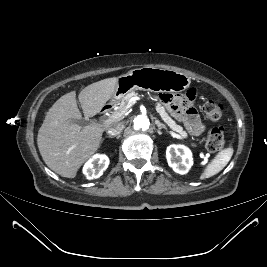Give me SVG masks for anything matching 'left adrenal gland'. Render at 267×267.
<instances>
[{
	"mask_svg": "<svg viewBox=\"0 0 267 267\" xmlns=\"http://www.w3.org/2000/svg\"><path fill=\"white\" fill-rule=\"evenodd\" d=\"M155 123H156L159 131H161V129L167 130L166 126L163 123H161L159 120H156Z\"/></svg>",
	"mask_w": 267,
	"mask_h": 267,
	"instance_id": "left-adrenal-gland-1",
	"label": "left adrenal gland"
}]
</instances>
